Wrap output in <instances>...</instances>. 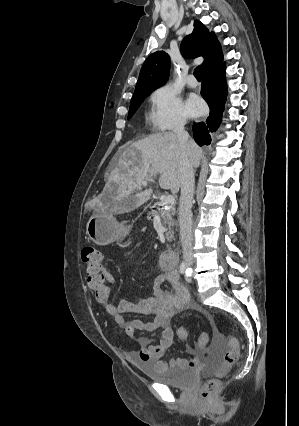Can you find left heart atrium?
<instances>
[{
	"label": "left heart atrium",
	"instance_id": "39dd6f15",
	"mask_svg": "<svg viewBox=\"0 0 299 426\" xmlns=\"http://www.w3.org/2000/svg\"><path fill=\"white\" fill-rule=\"evenodd\" d=\"M188 111L192 116L200 115L204 110L202 100L196 96H192L187 101Z\"/></svg>",
	"mask_w": 299,
	"mask_h": 426
}]
</instances>
